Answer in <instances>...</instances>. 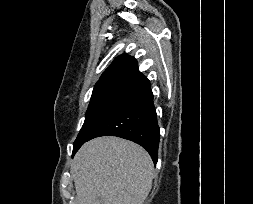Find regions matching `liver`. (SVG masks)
<instances>
[{"label": "liver", "mask_w": 253, "mask_h": 204, "mask_svg": "<svg viewBox=\"0 0 253 204\" xmlns=\"http://www.w3.org/2000/svg\"><path fill=\"white\" fill-rule=\"evenodd\" d=\"M153 173L152 159L140 145L115 136L92 139L71 165L76 204H143Z\"/></svg>", "instance_id": "1"}]
</instances>
